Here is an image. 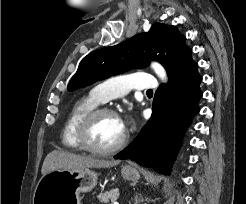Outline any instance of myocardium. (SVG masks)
Instances as JSON below:
<instances>
[{
    "label": "myocardium",
    "mask_w": 246,
    "mask_h": 204,
    "mask_svg": "<svg viewBox=\"0 0 246 204\" xmlns=\"http://www.w3.org/2000/svg\"><path fill=\"white\" fill-rule=\"evenodd\" d=\"M103 115H113L118 117L117 113L109 107H96L89 111L79 122L76 130V138L83 150L93 154L108 155L122 149L126 145L128 141L127 131H124L121 139L110 147L100 148L90 143L88 138L89 130L94 121Z\"/></svg>",
    "instance_id": "f54148a6"
}]
</instances>
